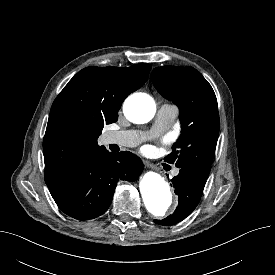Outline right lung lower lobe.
Instances as JSON below:
<instances>
[{
	"instance_id": "1",
	"label": "right lung lower lobe",
	"mask_w": 275,
	"mask_h": 275,
	"mask_svg": "<svg viewBox=\"0 0 275 275\" xmlns=\"http://www.w3.org/2000/svg\"><path fill=\"white\" fill-rule=\"evenodd\" d=\"M142 170L143 163L134 154L104 149L78 162L49 190L65 214L79 220L93 219L109 208L117 182H133Z\"/></svg>"
}]
</instances>
